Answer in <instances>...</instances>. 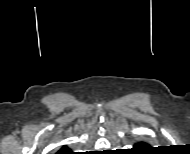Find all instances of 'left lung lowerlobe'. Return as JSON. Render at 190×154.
Returning <instances> with one entry per match:
<instances>
[{
	"mask_svg": "<svg viewBox=\"0 0 190 154\" xmlns=\"http://www.w3.org/2000/svg\"><path fill=\"white\" fill-rule=\"evenodd\" d=\"M145 146H146V145H145L144 143H142V142L138 144V147H139L140 149H143Z\"/></svg>",
	"mask_w": 190,
	"mask_h": 154,
	"instance_id": "1",
	"label": "left lung lower lobe"
}]
</instances>
